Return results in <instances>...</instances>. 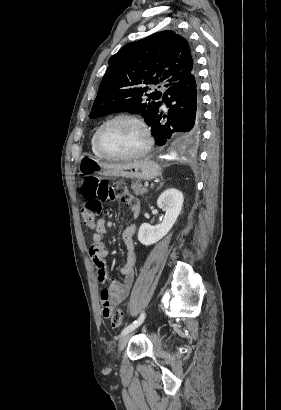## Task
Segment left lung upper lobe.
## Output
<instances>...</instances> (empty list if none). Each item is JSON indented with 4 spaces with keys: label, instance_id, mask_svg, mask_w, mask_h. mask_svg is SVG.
<instances>
[{
    "label": "left lung upper lobe",
    "instance_id": "obj_1",
    "mask_svg": "<svg viewBox=\"0 0 281 410\" xmlns=\"http://www.w3.org/2000/svg\"><path fill=\"white\" fill-rule=\"evenodd\" d=\"M108 64L89 115L92 119L130 111L140 113L149 124L159 111L155 100L162 93L147 85L169 88L196 71L187 40L169 30L125 45Z\"/></svg>",
    "mask_w": 281,
    "mask_h": 410
}]
</instances>
